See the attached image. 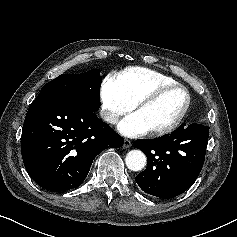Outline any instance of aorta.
<instances>
[{"label": "aorta", "mask_w": 237, "mask_h": 237, "mask_svg": "<svg viewBox=\"0 0 237 237\" xmlns=\"http://www.w3.org/2000/svg\"><path fill=\"white\" fill-rule=\"evenodd\" d=\"M125 163L131 171H140L146 165V156L140 150H131L126 155Z\"/></svg>", "instance_id": "1"}]
</instances>
